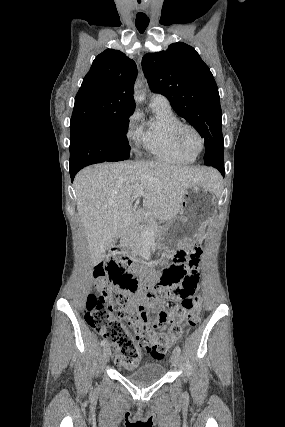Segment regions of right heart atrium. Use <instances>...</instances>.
Returning <instances> with one entry per match:
<instances>
[{"mask_svg": "<svg viewBox=\"0 0 285 427\" xmlns=\"http://www.w3.org/2000/svg\"><path fill=\"white\" fill-rule=\"evenodd\" d=\"M139 116L137 113H133L129 118V128L127 130L128 138H135L138 134V130L134 129V124L138 121Z\"/></svg>", "mask_w": 285, "mask_h": 427, "instance_id": "1", "label": "right heart atrium"}]
</instances>
